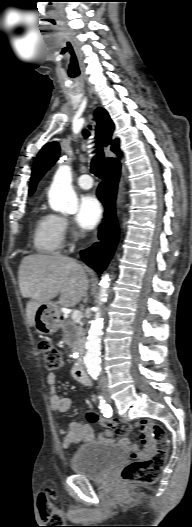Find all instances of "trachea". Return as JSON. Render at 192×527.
Masks as SVG:
<instances>
[{
	"mask_svg": "<svg viewBox=\"0 0 192 527\" xmlns=\"http://www.w3.org/2000/svg\"><path fill=\"white\" fill-rule=\"evenodd\" d=\"M95 143H96V146H97V149L95 150V152L97 154L94 156V158L91 161V172L95 176L101 178L103 161H104V155H103L102 145H101L100 138H99V135H98L97 131H96V135H95Z\"/></svg>",
	"mask_w": 192,
	"mask_h": 527,
	"instance_id": "3493384b",
	"label": "trachea"
}]
</instances>
